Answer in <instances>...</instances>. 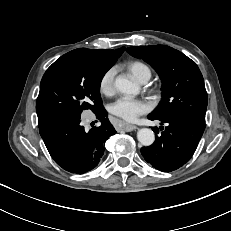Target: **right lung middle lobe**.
Masks as SVG:
<instances>
[{
    "label": "right lung middle lobe",
    "mask_w": 231,
    "mask_h": 231,
    "mask_svg": "<svg viewBox=\"0 0 231 231\" xmlns=\"http://www.w3.org/2000/svg\"><path fill=\"white\" fill-rule=\"evenodd\" d=\"M111 67L82 49L61 56L41 80L36 104L38 122L80 118L83 110L95 113L103 108L100 84Z\"/></svg>",
    "instance_id": "1"
}]
</instances>
